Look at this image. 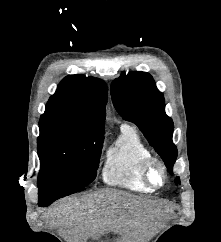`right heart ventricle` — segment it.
Returning <instances> with one entry per match:
<instances>
[{
    "mask_svg": "<svg viewBox=\"0 0 221 242\" xmlns=\"http://www.w3.org/2000/svg\"><path fill=\"white\" fill-rule=\"evenodd\" d=\"M150 156L149 147L136 130L123 125L115 145L107 153L102 172L104 182L135 192H152L141 174V165Z\"/></svg>",
    "mask_w": 221,
    "mask_h": 242,
    "instance_id": "e07e8e85",
    "label": "right heart ventricle"
}]
</instances>
